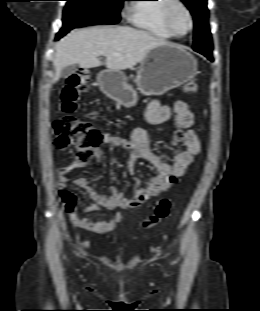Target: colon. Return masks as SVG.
I'll return each instance as SVG.
<instances>
[{
	"label": "colon",
	"mask_w": 260,
	"mask_h": 311,
	"mask_svg": "<svg viewBox=\"0 0 260 311\" xmlns=\"http://www.w3.org/2000/svg\"><path fill=\"white\" fill-rule=\"evenodd\" d=\"M90 74L81 70L71 75L61 92L62 110L67 115L54 123L55 147L60 150L72 149L78 162L86 163L95 155L96 149L103 143V133L89 120L72 115L79 109L81 95L86 91ZM186 93L194 94L198 90L197 83L190 80L185 83ZM91 119L95 114L90 115ZM184 138L183 133L175 134V141L180 142ZM172 200L161 199L155 206L153 213L143 222L145 229L153 228L167 219L171 213Z\"/></svg>",
	"instance_id": "obj_1"
}]
</instances>
